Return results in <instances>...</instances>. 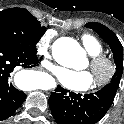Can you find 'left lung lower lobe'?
Returning a JSON list of instances; mask_svg holds the SVG:
<instances>
[{"instance_id": "left-lung-lower-lobe-1", "label": "left lung lower lobe", "mask_w": 124, "mask_h": 124, "mask_svg": "<svg viewBox=\"0 0 124 124\" xmlns=\"http://www.w3.org/2000/svg\"><path fill=\"white\" fill-rule=\"evenodd\" d=\"M117 89L106 85L89 94H76L58 86L49 98V107L57 124H95L111 107Z\"/></svg>"}]
</instances>
